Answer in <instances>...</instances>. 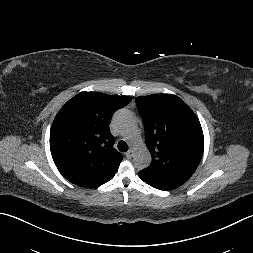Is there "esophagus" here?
Listing matches in <instances>:
<instances>
[{"label": "esophagus", "mask_w": 253, "mask_h": 253, "mask_svg": "<svg viewBox=\"0 0 253 253\" xmlns=\"http://www.w3.org/2000/svg\"><path fill=\"white\" fill-rule=\"evenodd\" d=\"M125 155H126V157H127L128 159H130V158H132V156H133V151H132V150H129Z\"/></svg>", "instance_id": "esophagus-1"}]
</instances>
